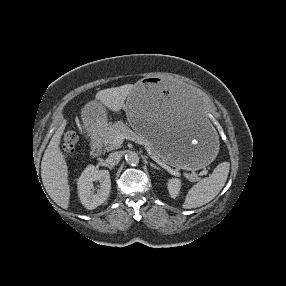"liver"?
Returning <instances> with one entry per match:
<instances>
[{"label":"liver","instance_id":"1","mask_svg":"<svg viewBox=\"0 0 286 286\" xmlns=\"http://www.w3.org/2000/svg\"><path fill=\"white\" fill-rule=\"evenodd\" d=\"M134 88L126 84L108 88L96 94V100L110 111L119 112L125 105L129 93ZM66 123L55 132L44 152L41 162V178L50 198L61 208L67 209L70 203V186L68 184V166L60 149L61 136Z\"/></svg>","mask_w":286,"mask_h":286}]
</instances>
